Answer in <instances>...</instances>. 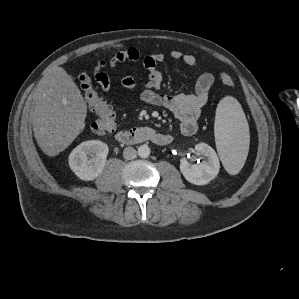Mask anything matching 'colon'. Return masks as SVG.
Listing matches in <instances>:
<instances>
[{
	"instance_id": "5ec220e1",
	"label": "colon",
	"mask_w": 299,
	"mask_h": 299,
	"mask_svg": "<svg viewBox=\"0 0 299 299\" xmlns=\"http://www.w3.org/2000/svg\"><path fill=\"white\" fill-rule=\"evenodd\" d=\"M220 79L226 87H234V80L228 73L222 72ZM78 80L85 101L96 114V120L91 125L92 131L98 135L111 134L116 127V111L107 100L97 93L92 85V79L87 73L80 74Z\"/></svg>"
}]
</instances>
